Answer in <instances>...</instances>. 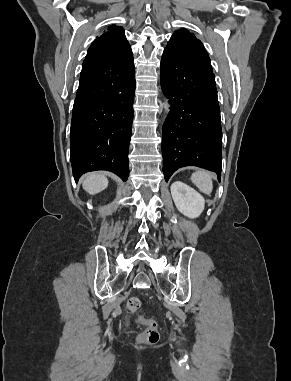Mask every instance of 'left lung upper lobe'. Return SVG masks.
<instances>
[{
    "mask_svg": "<svg viewBox=\"0 0 291 381\" xmlns=\"http://www.w3.org/2000/svg\"><path fill=\"white\" fill-rule=\"evenodd\" d=\"M165 50L199 70L213 73L210 58L203 44L184 28L173 33Z\"/></svg>",
    "mask_w": 291,
    "mask_h": 381,
    "instance_id": "left-lung-upper-lobe-1",
    "label": "left lung upper lobe"
}]
</instances>
